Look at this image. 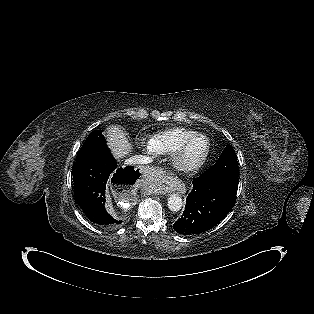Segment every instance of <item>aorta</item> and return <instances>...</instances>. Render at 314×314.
Returning a JSON list of instances; mask_svg holds the SVG:
<instances>
[{"label": "aorta", "mask_w": 314, "mask_h": 314, "mask_svg": "<svg viewBox=\"0 0 314 314\" xmlns=\"http://www.w3.org/2000/svg\"><path fill=\"white\" fill-rule=\"evenodd\" d=\"M168 208L172 212H178L181 210L183 202L182 198L178 194H171L170 197L168 198Z\"/></svg>", "instance_id": "1"}]
</instances>
